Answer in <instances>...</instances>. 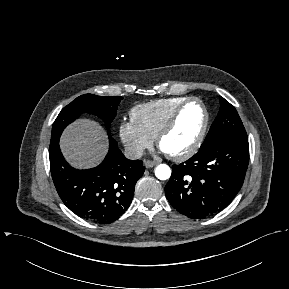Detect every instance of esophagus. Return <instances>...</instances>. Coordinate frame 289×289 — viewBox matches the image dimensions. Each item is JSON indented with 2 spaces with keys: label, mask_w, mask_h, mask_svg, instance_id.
I'll use <instances>...</instances> for the list:
<instances>
[{
  "label": "esophagus",
  "mask_w": 289,
  "mask_h": 289,
  "mask_svg": "<svg viewBox=\"0 0 289 289\" xmlns=\"http://www.w3.org/2000/svg\"><path fill=\"white\" fill-rule=\"evenodd\" d=\"M144 164H145L146 168H151V167H153V166H156V165H157V162L151 161V160H146V161L144 162Z\"/></svg>",
  "instance_id": "1"
}]
</instances>
